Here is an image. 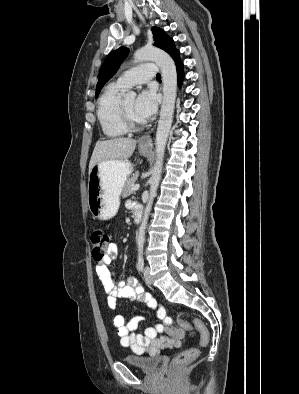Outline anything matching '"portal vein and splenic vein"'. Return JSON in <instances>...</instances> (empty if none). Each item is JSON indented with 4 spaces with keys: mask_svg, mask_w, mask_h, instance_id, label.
Segmentation results:
<instances>
[{
    "mask_svg": "<svg viewBox=\"0 0 299 394\" xmlns=\"http://www.w3.org/2000/svg\"><path fill=\"white\" fill-rule=\"evenodd\" d=\"M140 188V185L139 184H136V185H134V187H133V190H138Z\"/></svg>",
    "mask_w": 299,
    "mask_h": 394,
    "instance_id": "1",
    "label": "portal vein and splenic vein"
}]
</instances>
